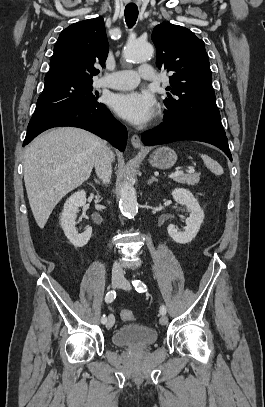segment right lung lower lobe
<instances>
[{
    "mask_svg": "<svg viewBox=\"0 0 265 407\" xmlns=\"http://www.w3.org/2000/svg\"><path fill=\"white\" fill-rule=\"evenodd\" d=\"M58 126H73L88 130L106 139L120 151L125 150L127 130L102 103L71 108L30 120L23 146L30 143L41 132Z\"/></svg>",
    "mask_w": 265,
    "mask_h": 407,
    "instance_id": "98d812e1",
    "label": "right lung lower lobe"
}]
</instances>
